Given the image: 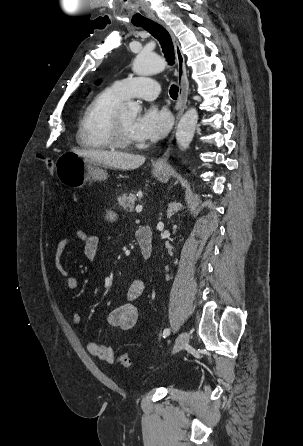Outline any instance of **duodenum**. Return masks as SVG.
Masks as SVG:
<instances>
[{
    "instance_id": "410a0bca",
    "label": "duodenum",
    "mask_w": 303,
    "mask_h": 446,
    "mask_svg": "<svg viewBox=\"0 0 303 446\" xmlns=\"http://www.w3.org/2000/svg\"><path fill=\"white\" fill-rule=\"evenodd\" d=\"M137 242L145 260H148L153 253V235L149 227H142L137 232Z\"/></svg>"
}]
</instances>
